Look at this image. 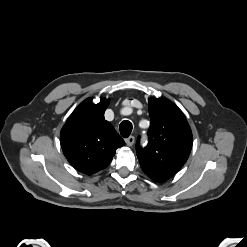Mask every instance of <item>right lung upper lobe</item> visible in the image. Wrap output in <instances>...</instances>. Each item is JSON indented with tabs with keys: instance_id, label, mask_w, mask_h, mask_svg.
Returning <instances> with one entry per match:
<instances>
[{
	"instance_id": "right-lung-upper-lobe-1",
	"label": "right lung upper lobe",
	"mask_w": 247,
	"mask_h": 247,
	"mask_svg": "<svg viewBox=\"0 0 247 247\" xmlns=\"http://www.w3.org/2000/svg\"><path fill=\"white\" fill-rule=\"evenodd\" d=\"M109 100L101 98L98 104L85 99L72 112L60 132L64 155L78 171L87 175L106 168L116 149L125 142L111 123L104 119Z\"/></svg>"
}]
</instances>
